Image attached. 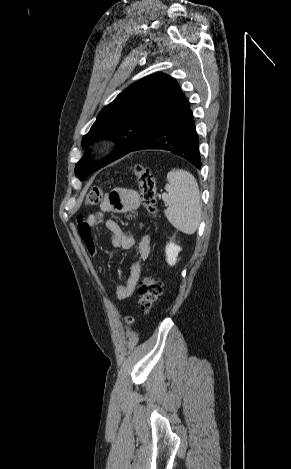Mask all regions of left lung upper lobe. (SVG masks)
<instances>
[{
	"mask_svg": "<svg viewBox=\"0 0 291 469\" xmlns=\"http://www.w3.org/2000/svg\"><path fill=\"white\" fill-rule=\"evenodd\" d=\"M185 98L178 83L164 73L144 77L121 92L97 116L82 138L83 146L102 139L116 140L118 146L105 159L91 163L84 156L75 167L80 180L111 163L136 146Z\"/></svg>",
	"mask_w": 291,
	"mask_h": 469,
	"instance_id": "1",
	"label": "left lung upper lobe"
}]
</instances>
